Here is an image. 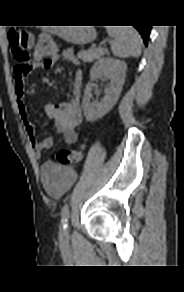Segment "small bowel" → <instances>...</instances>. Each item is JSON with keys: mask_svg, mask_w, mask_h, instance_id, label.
<instances>
[{"mask_svg": "<svg viewBox=\"0 0 184 292\" xmlns=\"http://www.w3.org/2000/svg\"><path fill=\"white\" fill-rule=\"evenodd\" d=\"M78 65L73 49H65L61 54H55L44 60L40 66L45 69L53 68L61 60ZM15 95L18 111L26 134L31 142L34 154L40 157L43 151L51 149L54 145L52 138H44L40 141L36 138L35 125L30 121L27 102L25 100V77L28 72L20 73L14 69ZM83 73L81 70L75 72L72 83V99L61 104H45L44 110L47 116L55 123L56 129L63 136L66 144H74L78 135L76 128L82 122L81 111V84ZM78 173L74 166H66L53 161L45 162L41 167V182L46 193L54 198L63 196L75 183Z\"/></svg>", "mask_w": 184, "mask_h": 292, "instance_id": "obj_1", "label": "small bowel"}]
</instances>
